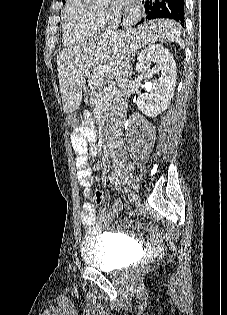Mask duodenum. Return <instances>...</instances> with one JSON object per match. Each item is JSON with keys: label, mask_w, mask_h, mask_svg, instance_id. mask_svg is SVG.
<instances>
[{"label": "duodenum", "mask_w": 227, "mask_h": 315, "mask_svg": "<svg viewBox=\"0 0 227 315\" xmlns=\"http://www.w3.org/2000/svg\"><path fill=\"white\" fill-rule=\"evenodd\" d=\"M103 143H107L108 142V135H104L102 138Z\"/></svg>", "instance_id": "obj_1"}]
</instances>
